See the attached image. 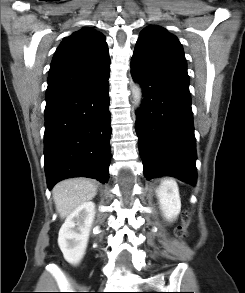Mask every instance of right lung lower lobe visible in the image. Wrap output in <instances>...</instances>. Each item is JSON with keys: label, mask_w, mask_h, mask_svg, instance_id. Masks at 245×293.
<instances>
[{"label": "right lung lower lobe", "mask_w": 245, "mask_h": 293, "mask_svg": "<svg viewBox=\"0 0 245 293\" xmlns=\"http://www.w3.org/2000/svg\"><path fill=\"white\" fill-rule=\"evenodd\" d=\"M109 74L46 103L44 155L49 189L72 177L108 181Z\"/></svg>", "instance_id": "98d812e1"}]
</instances>
